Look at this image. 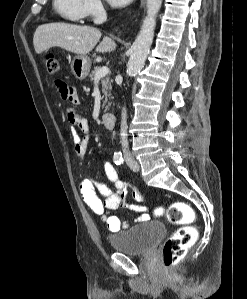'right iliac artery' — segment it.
<instances>
[{"label":"right iliac artery","instance_id":"obj_1","mask_svg":"<svg viewBox=\"0 0 247 299\" xmlns=\"http://www.w3.org/2000/svg\"><path fill=\"white\" fill-rule=\"evenodd\" d=\"M113 159H114L115 163L118 165H120L124 161L123 155L121 152L115 153Z\"/></svg>","mask_w":247,"mask_h":299}]
</instances>
